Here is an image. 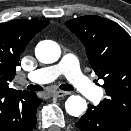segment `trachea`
I'll use <instances>...</instances> for the list:
<instances>
[{"mask_svg": "<svg viewBox=\"0 0 131 131\" xmlns=\"http://www.w3.org/2000/svg\"><path fill=\"white\" fill-rule=\"evenodd\" d=\"M59 88L64 91H73L74 90V87L70 84H62L59 86ZM27 89L31 90V91H42L43 87L39 86V85H32L31 84V85L27 86Z\"/></svg>", "mask_w": 131, "mask_h": 131, "instance_id": "3493384b", "label": "trachea"}]
</instances>
